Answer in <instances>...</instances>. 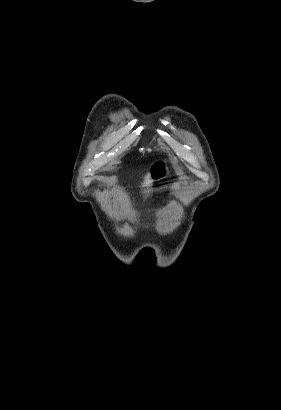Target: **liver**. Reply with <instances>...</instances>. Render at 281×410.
<instances>
[{
  "instance_id": "liver-1",
  "label": "liver",
  "mask_w": 281,
  "mask_h": 410,
  "mask_svg": "<svg viewBox=\"0 0 281 410\" xmlns=\"http://www.w3.org/2000/svg\"><path fill=\"white\" fill-rule=\"evenodd\" d=\"M150 182H151V181H150L149 175H146L143 185H144V186H147Z\"/></svg>"
}]
</instances>
